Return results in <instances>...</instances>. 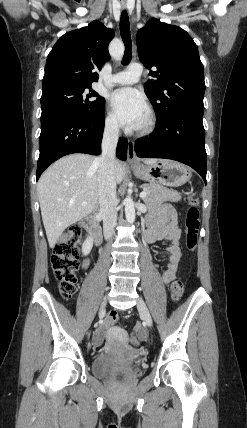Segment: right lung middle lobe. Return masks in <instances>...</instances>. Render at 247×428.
Instances as JSON below:
<instances>
[{"instance_id": "1", "label": "right lung middle lobe", "mask_w": 247, "mask_h": 428, "mask_svg": "<svg viewBox=\"0 0 247 428\" xmlns=\"http://www.w3.org/2000/svg\"><path fill=\"white\" fill-rule=\"evenodd\" d=\"M105 99L91 86H62L42 92V114L71 113L82 117H95L104 109Z\"/></svg>"}]
</instances>
